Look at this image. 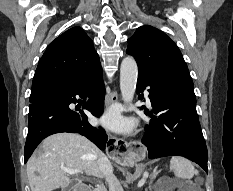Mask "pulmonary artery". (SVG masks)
I'll return each instance as SVG.
<instances>
[{
    "label": "pulmonary artery",
    "mask_w": 233,
    "mask_h": 191,
    "mask_svg": "<svg viewBox=\"0 0 233 191\" xmlns=\"http://www.w3.org/2000/svg\"><path fill=\"white\" fill-rule=\"evenodd\" d=\"M148 95H149V93H148V91L146 90V91H145V96H146V99H147L148 104H150V99H149Z\"/></svg>",
    "instance_id": "e3ab8cb5"
}]
</instances>
